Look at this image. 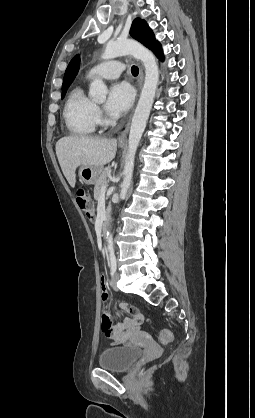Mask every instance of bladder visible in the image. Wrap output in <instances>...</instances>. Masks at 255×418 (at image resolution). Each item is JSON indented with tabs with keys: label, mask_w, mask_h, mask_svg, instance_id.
<instances>
[{
	"label": "bladder",
	"mask_w": 255,
	"mask_h": 418,
	"mask_svg": "<svg viewBox=\"0 0 255 418\" xmlns=\"http://www.w3.org/2000/svg\"><path fill=\"white\" fill-rule=\"evenodd\" d=\"M140 349L132 346H118L104 350L99 356V366L103 369L124 372L140 357Z\"/></svg>",
	"instance_id": "1"
}]
</instances>
